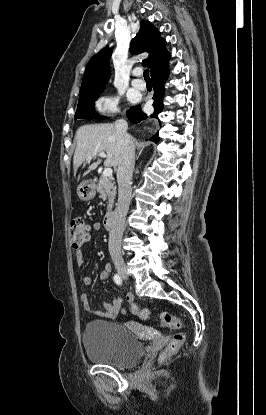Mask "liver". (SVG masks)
Returning <instances> with one entry per match:
<instances>
[{"label":"liver","mask_w":266,"mask_h":415,"mask_svg":"<svg viewBox=\"0 0 266 415\" xmlns=\"http://www.w3.org/2000/svg\"><path fill=\"white\" fill-rule=\"evenodd\" d=\"M75 139L77 141L73 167L76 171L87 160L88 156L95 157L97 153L106 152L105 166L116 168L120 159V150L117 145L116 129L111 123L83 125L78 128ZM100 161L89 166V171L94 170Z\"/></svg>","instance_id":"6515ba94"}]
</instances>
